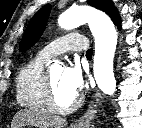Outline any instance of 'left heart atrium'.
<instances>
[{"instance_id": "1", "label": "left heart atrium", "mask_w": 142, "mask_h": 128, "mask_svg": "<svg viewBox=\"0 0 142 128\" xmlns=\"http://www.w3.org/2000/svg\"><path fill=\"white\" fill-rule=\"evenodd\" d=\"M64 86L75 96L84 87V77L81 68L78 65L67 67L62 75Z\"/></svg>"}]
</instances>
